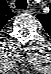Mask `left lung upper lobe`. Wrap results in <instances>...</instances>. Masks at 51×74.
Listing matches in <instances>:
<instances>
[{
	"label": "left lung upper lobe",
	"instance_id": "1",
	"mask_svg": "<svg viewBox=\"0 0 51 74\" xmlns=\"http://www.w3.org/2000/svg\"><path fill=\"white\" fill-rule=\"evenodd\" d=\"M37 18L41 21V23L44 26V21H45L44 18H46L45 15L44 14H39V15H37Z\"/></svg>",
	"mask_w": 51,
	"mask_h": 74
}]
</instances>
